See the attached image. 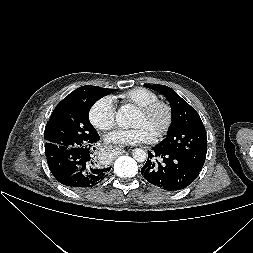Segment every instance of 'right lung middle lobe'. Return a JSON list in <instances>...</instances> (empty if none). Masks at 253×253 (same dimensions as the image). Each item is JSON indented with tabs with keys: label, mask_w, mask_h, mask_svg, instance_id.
<instances>
[{
	"label": "right lung middle lobe",
	"mask_w": 253,
	"mask_h": 253,
	"mask_svg": "<svg viewBox=\"0 0 253 253\" xmlns=\"http://www.w3.org/2000/svg\"><path fill=\"white\" fill-rule=\"evenodd\" d=\"M115 90L86 85L65 97L55 107L45 127L46 156L91 143L97 132L89 121V110L97 100Z\"/></svg>",
	"instance_id": "right-lung-middle-lobe-1"
}]
</instances>
